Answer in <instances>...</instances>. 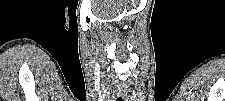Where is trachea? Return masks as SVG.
Segmentation results:
<instances>
[{
    "label": "trachea",
    "mask_w": 225,
    "mask_h": 101,
    "mask_svg": "<svg viewBox=\"0 0 225 101\" xmlns=\"http://www.w3.org/2000/svg\"><path fill=\"white\" fill-rule=\"evenodd\" d=\"M116 101H124L121 97L117 98Z\"/></svg>",
    "instance_id": "1"
}]
</instances>
